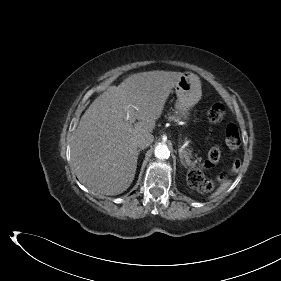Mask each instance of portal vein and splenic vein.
<instances>
[{
  "instance_id": "1",
  "label": "portal vein and splenic vein",
  "mask_w": 281,
  "mask_h": 281,
  "mask_svg": "<svg viewBox=\"0 0 281 281\" xmlns=\"http://www.w3.org/2000/svg\"><path fill=\"white\" fill-rule=\"evenodd\" d=\"M132 107L128 106L127 109H126L127 110V112H126V120H128L130 123H134L135 120H136L134 115H133V113H132V111H131Z\"/></svg>"
}]
</instances>
